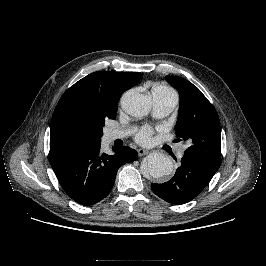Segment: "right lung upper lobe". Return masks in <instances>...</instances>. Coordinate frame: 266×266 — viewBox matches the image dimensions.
Returning a JSON list of instances; mask_svg holds the SVG:
<instances>
[{"label":"right lung upper lobe","mask_w":266,"mask_h":266,"mask_svg":"<svg viewBox=\"0 0 266 266\" xmlns=\"http://www.w3.org/2000/svg\"><path fill=\"white\" fill-rule=\"evenodd\" d=\"M140 72L98 71L71 86L60 98L51 120L50 145L72 142L66 130L69 118L76 113L117 112L122 93L136 85Z\"/></svg>","instance_id":"1"}]
</instances>
